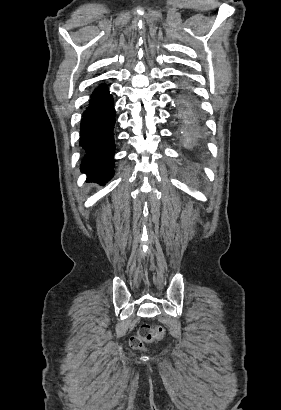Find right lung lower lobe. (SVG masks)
<instances>
[{"label":"right lung lower lobe","mask_w":281,"mask_h":410,"mask_svg":"<svg viewBox=\"0 0 281 410\" xmlns=\"http://www.w3.org/2000/svg\"><path fill=\"white\" fill-rule=\"evenodd\" d=\"M114 123L113 97L102 84L93 91L80 126V146L85 150L81 171L88 181L104 183L113 177Z\"/></svg>","instance_id":"98d812e1"}]
</instances>
